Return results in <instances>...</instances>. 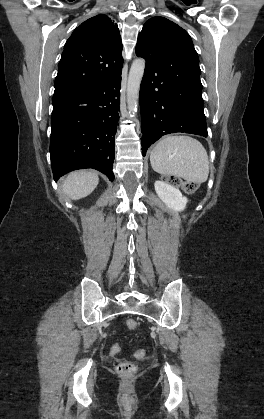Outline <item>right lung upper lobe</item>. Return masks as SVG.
<instances>
[{
	"label": "right lung upper lobe",
	"mask_w": 264,
	"mask_h": 419,
	"mask_svg": "<svg viewBox=\"0 0 264 419\" xmlns=\"http://www.w3.org/2000/svg\"><path fill=\"white\" fill-rule=\"evenodd\" d=\"M117 24L100 14L83 22L67 40L55 79L54 95L104 83L122 70Z\"/></svg>",
	"instance_id": "obj_1"
}]
</instances>
